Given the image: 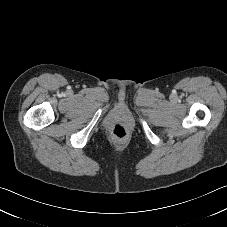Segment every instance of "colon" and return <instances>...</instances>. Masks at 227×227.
Masks as SVG:
<instances>
[{
	"mask_svg": "<svg viewBox=\"0 0 227 227\" xmlns=\"http://www.w3.org/2000/svg\"><path fill=\"white\" fill-rule=\"evenodd\" d=\"M114 134L119 137V138H123L127 135V131L123 126H116L113 130Z\"/></svg>",
	"mask_w": 227,
	"mask_h": 227,
	"instance_id": "1",
	"label": "colon"
}]
</instances>
